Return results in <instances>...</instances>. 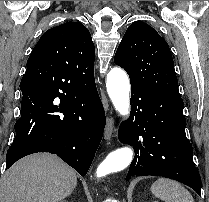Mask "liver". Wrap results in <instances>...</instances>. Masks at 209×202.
I'll list each match as a JSON object with an SVG mask.
<instances>
[{"label":"liver","instance_id":"6515ba94","mask_svg":"<svg viewBox=\"0 0 209 202\" xmlns=\"http://www.w3.org/2000/svg\"><path fill=\"white\" fill-rule=\"evenodd\" d=\"M76 184V172L57 156L34 154L6 171L0 181V202H59Z\"/></svg>","mask_w":209,"mask_h":202}]
</instances>
